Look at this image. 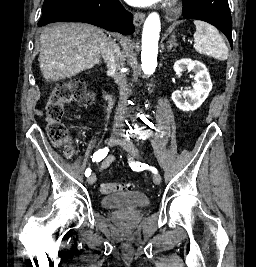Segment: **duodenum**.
Listing matches in <instances>:
<instances>
[{
	"label": "duodenum",
	"instance_id": "duodenum-1",
	"mask_svg": "<svg viewBox=\"0 0 256 267\" xmlns=\"http://www.w3.org/2000/svg\"><path fill=\"white\" fill-rule=\"evenodd\" d=\"M100 97L108 105L112 101V96L103 87H100Z\"/></svg>",
	"mask_w": 256,
	"mask_h": 267
}]
</instances>
